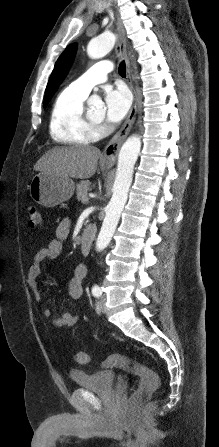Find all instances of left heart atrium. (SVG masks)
Returning <instances> with one entry per match:
<instances>
[{
	"instance_id": "39dd6f15",
	"label": "left heart atrium",
	"mask_w": 219,
	"mask_h": 447,
	"mask_svg": "<svg viewBox=\"0 0 219 447\" xmlns=\"http://www.w3.org/2000/svg\"><path fill=\"white\" fill-rule=\"evenodd\" d=\"M104 103L106 120L109 122H118L127 115L131 106V96L123 87L108 89L105 94Z\"/></svg>"
}]
</instances>
